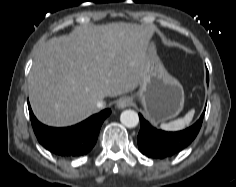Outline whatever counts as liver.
Instances as JSON below:
<instances>
[{
	"label": "liver",
	"mask_w": 236,
	"mask_h": 187,
	"mask_svg": "<svg viewBox=\"0 0 236 187\" xmlns=\"http://www.w3.org/2000/svg\"><path fill=\"white\" fill-rule=\"evenodd\" d=\"M153 29L117 22L84 26L48 40L28 77L36 117L49 126L76 124L98 112L96 103L140 83Z\"/></svg>",
	"instance_id": "1"
}]
</instances>
